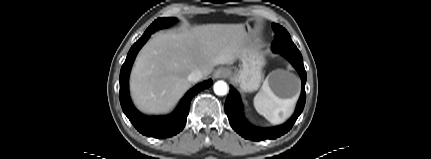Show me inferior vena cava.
Listing matches in <instances>:
<instances>
[{
    "instance_id": "obj_1",
    "label": "inferior vena cava",
    "mask_w": 431,
    "mask_h": 159,
    "mask_svg": "<svg viewBox=\"0 0 431 159\" xmlns=\"http://www.w3.org/2000/svg\"><path fill=\"white\" fill-rule=\"evenodd\" d=\"M203 77H204V73H203L201 70L197 69V70H194L193 72H191V73L189 74V76H188V80H189L190 82H198V81H200Z\"/></svg>"
}]
</instances>
